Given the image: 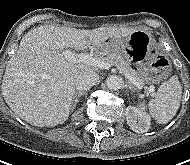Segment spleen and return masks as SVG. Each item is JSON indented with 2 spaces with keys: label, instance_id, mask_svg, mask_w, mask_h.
Instances as JSON below:
<instances>
[{
  "label": "spleen",
  "instance_id": "1",
  "mask_svg": "<svg viewBox=\"0 0 190 165\" xmlns=\"http://www.w3.org/2000/svg\"><path fill=\"white\" fill-rule=\"evenodd\" d=\"M182 96V87L177 76L170 77L158 88L157 94L148 105L140 103L138 109H148L150 115L160 124L168 123L177 113Z\"/></svg>",
  "mask_w": 190,
  "mask_h": 165
}]
</instances>
